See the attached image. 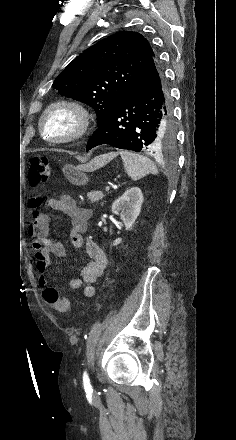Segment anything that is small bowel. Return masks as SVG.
Returning a JSON list of instances; mask_svg holds the SVG:
<instances>
[{
  "mask_svg": "<svg viewBox=\"0 0 236 440\" xmlns=\"http://www.w3.org/2000/svg\"><path fill=\"white\" fill-rule=\"evenodd\" d=\"M29 207L31 209V221L28 224L27 233L35 251V270L38 285L41 288L46 287V270L52 257L63 258L66 256L65 246L60 241L50 237L48 227L50 218L47 213L42 211V208L48 207L67 212L71 216V243L78 249L84 247L90 259L82 268L80 277L70 279L69 288L71 290L82 288L85 297H93L95 295L94 283L104 273L108 258L96 242L91 239H84L91 211L88 208L78 206L76 201L69 195L59 197H48L42 194L34 195L29 200Z\"/></svg>",
  "mask_w": 236,
  "mask_h": 440,
  "instance_id": "small-bowel-1",
  "label": "small bowel"
}]
</instances>
